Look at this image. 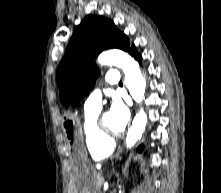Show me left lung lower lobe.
<instances>
[{"label": "left lung lower lobe", "mask_w": 221, "mask_h": 193, "mask_svg": "<svg viewBox=\"0 0 221 193\" xmlns=\"http://www.w3.org/2000/svg\"><path fill=\"white\" fill-rule=\"evenodd\" d=\"M129 54L133 56L136 60H138L139 63H141V56L138 54V52L135 49V46L132 45V47L129 49ZM138 152L143 151V146H139L137 149Z\"/></svg>", "instance_id": "obj_1"}]
</instances>
